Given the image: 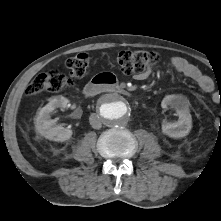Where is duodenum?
<instances>
[{"label":"duodenum","instance_id":"duodenum-1","mask_svg":"<svg viewBox=\"0 0 221 221\" xmlns=\"http://www.w3.org/2000/svg\"><path fill=\"white\" fill-rule=\"evenodd\" d=\"M102 91L128 93L124 87L118 85L115 79L108 75H97L84 87V94L87 97H93Z\"/></svg>","mask_w":221,"mask_h":221}]
</instances>
